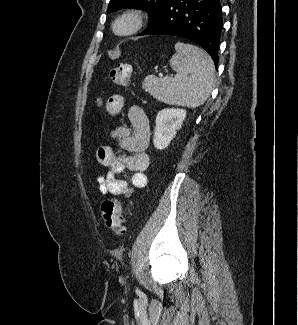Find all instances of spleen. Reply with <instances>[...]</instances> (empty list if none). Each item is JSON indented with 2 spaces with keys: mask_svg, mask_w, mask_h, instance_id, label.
Wrapping results in <instances>:
<instances>
[{
  "mask_svg": "<svg viewBox=\"0 0 298 325\" xmlns=\"http://www.w3.org/2000/svg\"><path fill=\"white\" fill-rule=\"evenodd\" d=\"M175 50L176 54L169 60L175 76L158 78L155 74H147L143 86L160 102L188 108L201 106L213 88L214 62L205 50L194 44L176 42Z\"/></svg>",
  "mask_w": 298,
  "mask_h": 325,
  "instance_id": "obj_1",
  "label": "spleen"
}]
</instances>
